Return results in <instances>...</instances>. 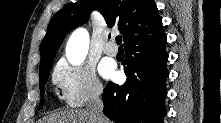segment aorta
<instances>
[{
	"mask_svg": "<svg viewBox=\"0 0 221 123\" xmlns=\"http://www.w3.org/2000/svg\"><path fill=\"white\" fill-rule=\"evenodd\" d=\"M89 41V33L84 28H78L71 34L66 46V57L72 65H80L84 61Z\"/></svg>",
	"mask_w": 221,
	"mask_h": 123,
	"instance_id": "1",
	"label": "aorta"
}]
</instances>
